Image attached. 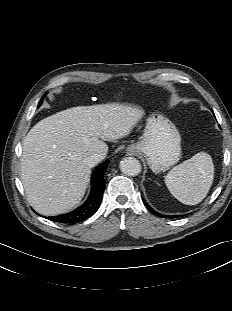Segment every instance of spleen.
Here are the masks:
<instances>
[{
  "mask_svg": "<svg viewBox=\"0 0 232 311\" xmlns=\"http://www.w3.org/2000/svg\"><path fill=\"white\" fill-rule=\"evenodd\" d=\"M213 178L212 158L202 151L171 169L165 176V183L181 203L196 205L208 194Z\"/></svg>",
  "mask_w": 232,
  "mask_h": 311,
  "instance_id": "1",
  "label": "spleen"
}]
</instances>
